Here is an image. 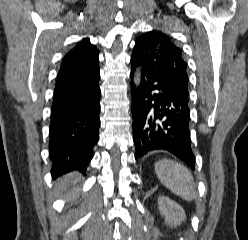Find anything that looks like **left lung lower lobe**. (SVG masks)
Wrapping results in <instances>:
<instances>
[{
	"instance_id": "0a47b994",
	"label": "left lung lower lobe",
	"mask_w": 248,
	"mask_h": 240,
	"mask_svg": "<svg viewBox=\"0 0 248 240\" xmlns=\"http://www.w3.org/2000/svg\"><path fill=\"white\" fill-rule=\"evenodd\" d=\"M131 77L138 64L131 60ZM133 141L138 160L153 150H166L194 168L188 97L141 69L138 88L131 85Z\"/></svg>"
}]
</instances>
